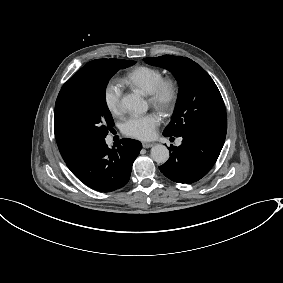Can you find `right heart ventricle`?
Listing matches in <instances>:
<instances>
[{
	"mask_svg": "<svg viewBox=\"0 0 283 283\" xmlns=\"http://www.w3.org/2000/svg\"><path fill=\"white\" fill-rule=\"evenodd\" d=\"M162 79L161 70L148 65H135L124 73L123 83L140 87L149 93Z\"/></svg>",
	"mask_w": 283,
	"mask_h": 283,
	"instance_id": "1",
	"label": "right heart ventricle"
}]
</instances>
